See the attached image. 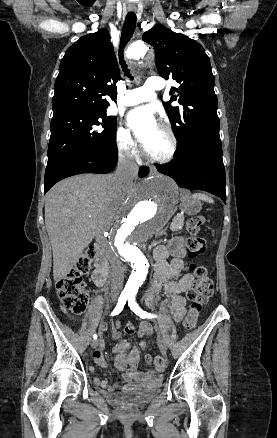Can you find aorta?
Here are the masks:
<instances>
[{
	"mask_svg": "<svg viewBox=\"0 0 277 438\" xmlns=\"http://www.w3.org/2000/svg\"><path fill=\"white\" fill-rule=\"evenodd\" d=\"M145 44L136 42L127 49V57L140 59L146 55ZM177 203L176 185L170 178L157 175L139 183L130 193L124 210L109 233L115 252L132 266L125 293L135 294L148 273V260L143 244L159 232L174 214Z\"/></svg>",
	"mask_w": 277,
	"mask_h": 438,
	"instance_id": "obj_1",
	"label": "aorta"
}]
</instances>
